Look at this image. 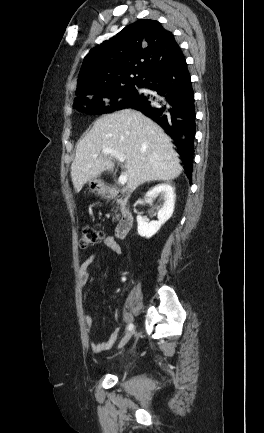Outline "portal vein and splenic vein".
Returning a JSON list of instances; mask_svg holds the SVG:
<instances>
[{
  "instance_id": "obj_1",
  "label": "portal vein and splenic vein",
  "mask_w": 264,
  "mask_h": 433,
  "mask_svg": "<svg viewBox=\"0 0 264 433\" xmlns=\"http://www.w3.org/2000/svg\"><path fill=\"white\" fill-rule=\"evenodd\" d=\"M103 153L105 155H110L111 157L116 158L119 162L123 163L125 161V155L113 150L111 148H104L101 151H99L97 154L94 155V158H96L98 156V154ZM118 182L120 185H125L127 182V174L126 173H122L118 179Z\"/></svg>"
}]
</instances>
